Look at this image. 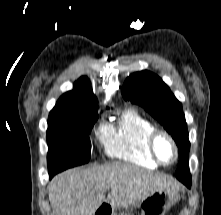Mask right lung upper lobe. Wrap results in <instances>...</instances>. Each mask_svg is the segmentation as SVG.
I'll use <instances>...</instances> for the list:
<instances>
[{"instance_id":"cb5924a9","label":"right lung upper lobe","mask_w":221,"mask_h":215,"mask_svg":"<svg viewBox=\"0 0 221 215\" xmlns=\"http://www.w3.org/2000/svg\"><path fill=\"white\" fill-rule=\"evenodd\" d=\"M88 104L97 105L96 96L93 94L89 79L87 77L79 78L75 83L72 91L63 94L57 101L55 107Z\"/></svg>"}]
</instances>
